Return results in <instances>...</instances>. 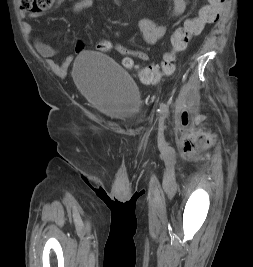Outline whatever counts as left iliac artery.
I'll use <instances>...</instances> for the list:
<instances>
[{
  "instance_id": "1",
  "label": "left iliac artery",
  "mask_w": 253,
  "mask_h": 267,
  "mask_svg": "<svg viewBox=\"0 0 253 267\" xmlns=\"http://www.w3.org/2000/svg\"><path fill=\"white\" fill-rule=\"evenodd\" d=\"M160 113L164 116L167 117L169 115V109L168 106L164 103H162L160 105V109H159Z\"/></svg>"
}]
</instances>
